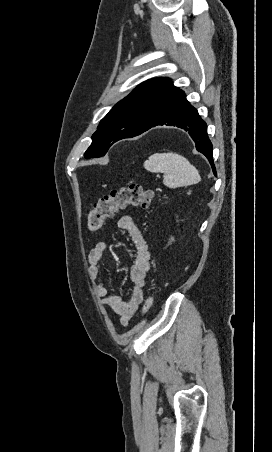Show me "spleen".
I'll use <instances>...</instances> for the list:
<instances>
[{"mask_svg":"<svg viewBox=\"0 0 272 452\" xmlns=\"http://www.w3.org/2000/svg\"><path fill=\"white\" fill-rule=\"evenodd\" d=\"M144 167L150 172H163V183L170 188L196 184L201 180L198 170L177 153H155L145 161Z\"/></svg>","mask_w":272,"mask_h":452,"instance_id":"spleen-1","label":"spleen"}]
</instances>
